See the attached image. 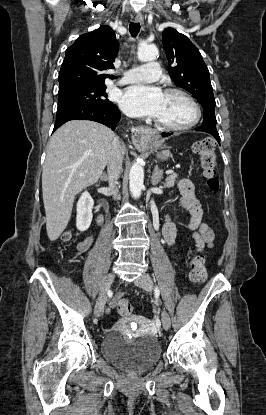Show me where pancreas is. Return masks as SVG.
Listing matches in <instances>:
<instances>
[{
	"mask_svg": "<svg viewBox=\"0 0 266 415\" xmlns=\"http://www.w3.org/2000/svg\"><path fill=\"white\" fill-rule=\"evenodd\" d=\"M177 178H178V175L177 174H171V175H169L165 179L164 186L165 187H172V186H174Z\"/></svg>",
	"mask_w": 266,
	"mask_h": 415,
	"instance_id": "1",
	"label": "pancreas"
}]
</instances>
